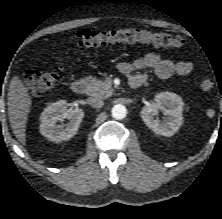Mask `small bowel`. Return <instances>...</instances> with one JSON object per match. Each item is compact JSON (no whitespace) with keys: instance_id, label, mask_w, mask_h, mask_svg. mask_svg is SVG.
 Here are the masks:
<instances>
[{"instance_id":"small-bowel-1","label":"small bowel","mask_w":222,"mask_h":219,"mask_svg":"<svg viewBox=\"0 0 222 219\" xmlns=\"http://www.w3.org/2000/svg\"><path fill=\"white\" fill-rule=\"evenodd\" d=\"M117 69L128 78L130 85L142 84L145 75L138 73L146 69H152L160 79H167L173 75L185 76L192 72L193 64L189 61H173L162 58L157 53H147L132 62H119Z\"/></svg>"}]
</instances>
